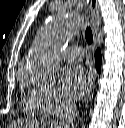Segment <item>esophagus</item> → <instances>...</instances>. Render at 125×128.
Returning a JSON list of instances; mask_svg holds the SVG:
<instances>
[{
  "instance_id": "34e87169",
  "label": "esophagus",
  "mask_w": 125,
  "mask_h": 128,
  "mask_svg": "<svg viewBox=\"0 0 125 128\" xmlns=\"http://www.w3.org/2000/svg\"><path fill=\"white\" fill-rule=\"evenodd\" d=\"M90 11L92 17V30L94 36L93 46L97 43V34L100 28V14H99V4L97 0H90Z\"/></svg>"
}]
</instances>
